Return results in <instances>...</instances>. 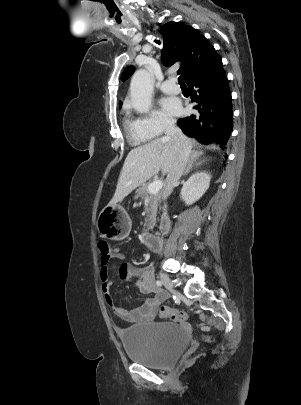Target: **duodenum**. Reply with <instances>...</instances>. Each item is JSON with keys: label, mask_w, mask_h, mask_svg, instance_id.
<instances>
[{"label": "duodenum", "mask_w": 301, "mask_h": 405, "mask_svg": "<svg viewBox=\"0 0 301 405\" xmlns=\"http://www.w3.org/2000/svg\"><path fill=\"white\" fill-rule=\"evenodd\" d=\"M168 226V222L164 220L161 224V228L165 230ZM143 241L145 245L152 251H160L162 249V242L159 237L154 234L146 233L143 235Z\"/></svg>", "instance_id": "1"}]
</instances>
